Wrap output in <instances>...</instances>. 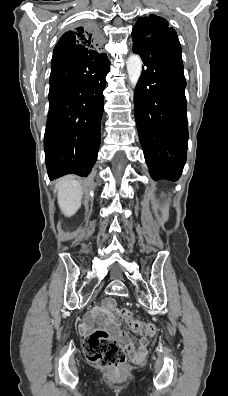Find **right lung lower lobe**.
Segmentation results:
<instances>
[{
    "label": "right lung lower lobe",
    "mask_w": 228,
    "mask_h": 396,
    "mask_svg": "<svg viewBox=\"0 0 228 396\" xmlns=\"http://www.w3.org/2000/svg\"><path fill=\"white\" fill-rule=\"evenodd\" d=\"M110 62L105 53L70 50L51 62L49 112L44 150L50 180L66 174L87 177L101 141Z\"/></svg>",
    "instance_id": "obj_1"
}]
</instances>
